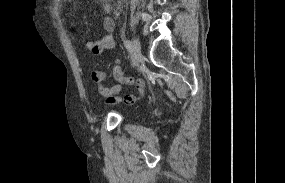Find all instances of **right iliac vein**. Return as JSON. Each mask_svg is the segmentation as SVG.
I'll return each mask as SVG.
<instances>
[{"label": "right iliac vein", "mask_w": 285, "mask_h": 183, "mask_svg": "<svg viewBox=\"0 0 285 183\" xmlns=\"http://www.w3.org/2000/svg\"><path fill=\"white\" fill-rule=\"evenodd\" d=\"M141 59V46L138 38L134 39L133 51H132V66L137 67Z\"/></svg>", "instance_id": "1"}]
</instances>
